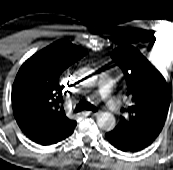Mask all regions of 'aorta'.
Returning a JSON list of instances; mask_svg holds the SVG:
<instances>
[{
  "label": "aorta",
  "mask_w": 173,
  "mask_h": 170,
  "mask_svg": "<svg viewBox=\"0 0 173 170\" xmlns=\"http://www.w3.org/2000/svg\"><path fill=\"white\" fill-rule=\"evenodd\" d=\"M85 83L87 86H93V84L95 83V78H89ZM115 123V117L109 112H104L97 116V125L102 130H112L115 127Z\"/></svg>",
  "instance_id": "762f6f07"
}]
</instances>
